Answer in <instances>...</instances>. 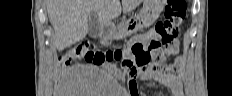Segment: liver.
Here are the masks:
<instances>
[{"instance_id":"obj_1","label":"liver","mask_w":232,"mask_h":96,"mask_svg":"<svg viewBox=\"0 0 232 96\" xmlns=\"http://www.w3.org/2000/svg\"><path fill=\"white\" fill-rule=\"evenodd\" d=\"M142 0H48L47 12L55 31L58 51L83 40L88 33V16L95 12L101 26L108 27L123 9L127 13Z\"/></svg>"}]
</instances>
